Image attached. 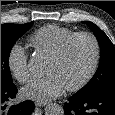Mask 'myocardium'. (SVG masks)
Instances as JSON below:
<instances>
[{
    "label": "myocardium",
    "mask_w": 115,
    "mask_h": 115,
    "mask_svg": "<svg viewBox=\"0 0 115 115\" xmlns=\"http://www.w3.org/2000/svg\"><path fill=\"white\" fill-rule=\"evenodd\" d=\"M79 38H87L92 42L93 48H94V58H93L91 68L88 71V73L86 74V76L76 85L66 88L67 91H69V92H76V91H79L82 88H84L94 77L95 73L97 72L99 63H100L101 49H100L99 41L95 37V35H93L92 33H89V32H77L74 35H72L71 37H69L68 39H66L61 44L59 49L50 57V60H52L54 62L61 61L64 58V56H65L66 52L68 51L69 47L71 46V44Z\"/></svg>",
    "instance_id": "1"
}]
</instances>
